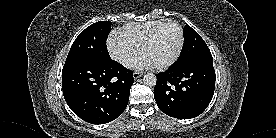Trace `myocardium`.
I'll return each instance as SVG.
<instances>
[{
    "label": "myocardium",
    "instance_id": "myocardium-1",
    "mask_svg": "<svg viewBox=\"0 0 276 138\" xmlns=\"http://www.w3.org/2000/svg\"><path fill=\"white\" fill-rule=\"evenodd\" d=\"M167 23H172L174 24L178 30H179V34H180V42H179V46H178V49L175 53V55L173 56V58L171 60H169L168 62L162 64V65H158L156 66L157 69H160V70H164V69H167L169 67H171L180 57L181 53H182V50H183V47H184V43H185V33H184V29L182 27V25L174 20V19H164L162 20L160 23H158L153 29L152 31L149 33L148 37L146 38V40L144 41L142 47H141V52L142 54H144V52L146 51V49L151 45V43L154 41L156 35H157V32L159 31V29L164 25V24H167Z\"/></svg>",
    "mask_w": 276,
    "mask_h": 138
}]
</instances>
